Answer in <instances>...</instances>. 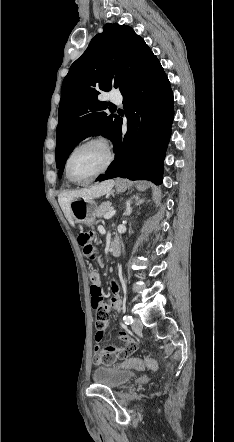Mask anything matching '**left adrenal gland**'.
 Masks as SVG:
<instances>
[{
  "label": "left adrenal gland",
  "instance_id": "a2214340",
  "mask_svg": "<svg viewBox=\"0 0 234 442\" xmlns=\"http://www.w3.org/2000/svg\"><path fill=\"white\" fill-rule=\"evenodd\" d=\"M133 198H135V200L137 201L136 205H140L144 202V200H139L138 196H134ZM131 203H132L131 200H128L126 202V210L124 212V215H126V216H129L132 213Z\"/></svg>",
  "mask_w": 234,
  "mask_h": 442
}]
</instances>
